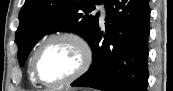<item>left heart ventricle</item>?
<instances>
[{
	"mask_svg": "<svg viewBox=\"0 0 173 91\" xmlns=\"http://www.w3.org/2000/svg\"><path fill=\"white\" fill-rule=\"evenodd\" d=\"M80 64L78 48L70 41L51 42L42 51L38 74L45 82H58L71 75Z\"/></svg>",
	"mask_w": 173,
	"mask_h": 91,
	"instance_id": "b2bd125f",
	"label": "left heart ventricle"
}]
</instances>
